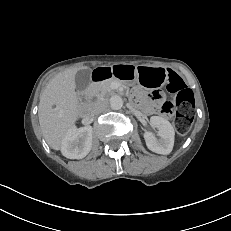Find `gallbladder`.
<instances>
[{
  "label": "gallbladder",
  "mask_w": 231,
  "mask_h": 231,
  "mask_svg": "<svg viewBox=\"0 0 231 231\" xmlns=\"http://www.w3.org/2000/svg\"><path fill=\"white\" fill-rule=\"evenodd\" d=\"M75 84L78 90H84L89 84V71L80 70L75 75Z\"/></svg>",
  "instance_id": "gallbladder-1"
}]
</instances>
